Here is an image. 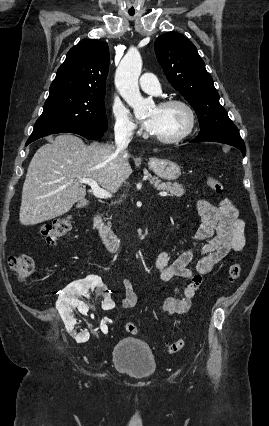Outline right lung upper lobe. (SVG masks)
Masks as SVG:
<instances>
[{
	"label": "right lung upper lobe",
	"instance_id": "cb5924a9",
	"mask_svg": "<svg viewBox=\"0 0 269 426\" xmlns=\"http://www.w3.org/2000/svg\"><path fill=\"white\" fill-rule=\"evenodd\" d=\"M109 68L107 43L84 39L67 53L50 86V93L59 91L105 94Z\"/></svg>",
	"mask_w": 269,
	"mask_h": 426
}]
</instances>
